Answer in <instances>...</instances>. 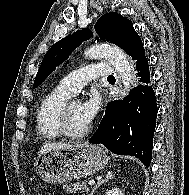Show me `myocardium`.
Wrapping results in <instances>:
<instances>
[{"label":"myocardium","instance_id":"1","mask_svg":"<svg viewBox=\"0 0 189 195\" xmlns=\"http://www.w3.org/2000/svg\"><path fill=\"white\" fill-rule=\"evenodd\" d=\"M75 102H77V101L76 100H68L61 106V108L58 112L57 124H58V128L63 136L70 138V139H81L90 133L92 127L89 124V126L81 132H73L71 130V128L69 126V111H70L71 106Z\"/></svg>","mask_w":189,"mask_h":195}]
</instances>
